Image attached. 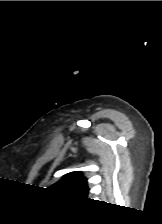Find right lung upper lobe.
I'll list each match as a JSON object with an SVG mask.
<instances>
[{"label":"right lung upper lobe","mask_w":162,"mask_h":224,"mask_svg":"<svg viewBox=\"0 0 162 224\" xmlns=\"http://www.w3.org/2000/svg\"><path fill=\"white\" fill-rule=\"evenodd\" d=\"M50 188L77 197L86 198L88 195L87 180L81 172H71Z\"/></svg>","instance_id":"right-lung-upper-lobe-1"}]
</instances>
